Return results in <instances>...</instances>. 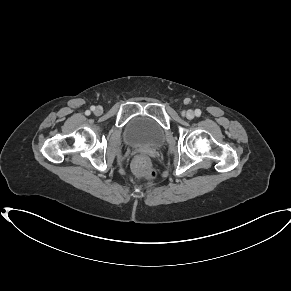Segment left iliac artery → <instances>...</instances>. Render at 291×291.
<instances>
[{"mask_svg":"<svg viewBox=\"0 0 291 291\" xmlns=\"http://www.w3.org/2000/svg\"><path fill=\"white\" fill-rule=\"evenodd\" d=\"M195 115H196L197 117H199V116L201 115V110H200V109H196V110H195Z\"/></svg>","mask_w":291,"mask_h":291,"instance_id":"obj_1","label":"left iliac artery"}]
</instances>
